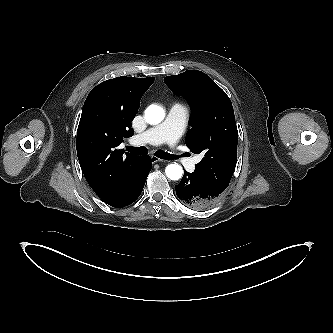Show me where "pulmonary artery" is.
I'll return each instance as SVG.
<instances>
[{"label": "pulmonary artery", "instance_id": "1", "mask_svg": "<svg viewBox=\"0 0 333 333\" xmlns=\"http://www.w3.org/2000/svg\"><path fill=\"white\" fill-rule=\"evenodd\" d=\"M188 116L189 110L187 106L181 103H174L161 124L135 136L132 143L135 145L167 143L172 146L184 133ZM182 163L188 171L195 169L196 160L194 159H182Z\"/></svg>", "mask_w": 333, "mask_h": 333}]
</instances>
